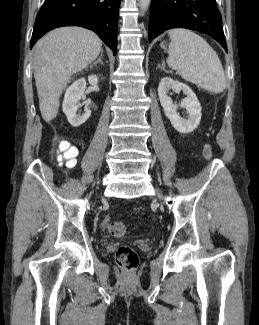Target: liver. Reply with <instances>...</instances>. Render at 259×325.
Segmentation results:
<instances>
[{
    "label": "liver",
    "mask_w": 259,
    "mask_h": 325,
    "mask_svg": "<svg viewBox=\"0 0 259 325\" xmlns=\"http://www.w3.org/2000/svg\"><path fill=\"white\" fill-rule=\"evenodd\" d=\"M101 48L100 38L82 27H61L37 42L34 78L39 108L46 122L57 116L59 98L71 75L82 71L96 60Z\"/></svg>",
    "instance_id": "liver-1"
}]
</instances>
